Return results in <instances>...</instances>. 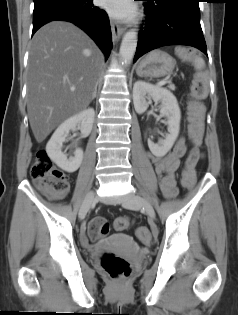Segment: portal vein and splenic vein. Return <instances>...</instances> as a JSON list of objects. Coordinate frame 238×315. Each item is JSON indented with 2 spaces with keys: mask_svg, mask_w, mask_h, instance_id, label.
I'll use <instances>...</instances> for the list:
<instances>
[{
  "mask_svg": "<svg viewBox=\"0 0 238 315\" xmlns=\"http://www.w3.org/2000/svg\"><path fill=\"white\" fill-rule=\"evenodd\" d=\"M167 83H169V78H166V79H164V80L158 82L157 85H158V86H163V85H165V84H167ZM70 90H71V91H74V90H75V87H71Z\"/></svg>",
  "mask_w": 238,
  "mask_h": 315,
  "instance_id": "18ae733b",
  "label": "portal vein and splenic vein"
}]
</instances>
